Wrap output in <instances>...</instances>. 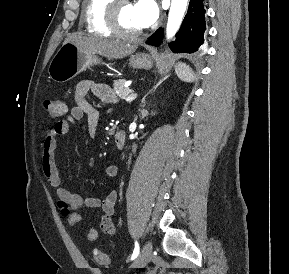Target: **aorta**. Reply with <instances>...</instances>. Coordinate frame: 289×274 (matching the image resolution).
Segmentation results:
<instances>
[{
  "label": "aorta",
  "instance_id": "aorta-1",
  "mask_svg": "<svg viewBox=\"0 0 289 274\" xmlns=\"http://www.w3.org/2000/svg\"><path fill=\"white\" fill-rule=\"evenodd\" d=\"M187 3L188 0L171 1V7L166 28V35L168 40L172 38L178 31L186 11Z\"/></svg>",
  "mask_w": 289,
  "mask_h": 274
}]
</instances>
